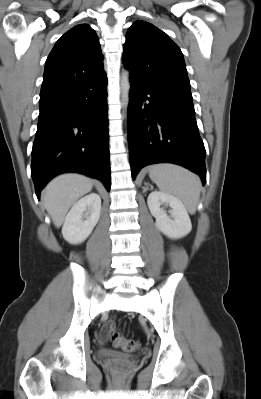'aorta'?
Segmentation results:
<instances>
[{
  "label": "aorta",
  "mask_w": 261,
  "mask_h": 399,
  "mask_svg": "<svg viewBox=\"0 0 261 399\" xmlns=\"http://www.w3.org/2000/svg\"><path fill=\"white\" fill-rule=\"evenodd\" d=\"M120 87H121L122 105L127 110L129 103L130 80H129V72L126 70L122 72Z\"/></svg>",
  "instance_id": "1"
}]
</instances>
